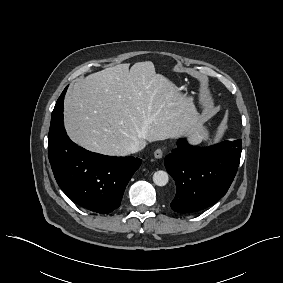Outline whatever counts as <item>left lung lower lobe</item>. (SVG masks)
Returning a JSON list of instances; mask_svg holds the SVG:
<instances>
[{"mask_svg": "<svg viewBox=\"0 0 283 283\" xmlns=\"http://www.w3.org/2000/svg\"><path fill=\"white\" fill-rule=\"evenodd\" d=\"M165 158V167L176 183L171 208L178 213L205 209L228 191L238 169L242 141L196 148L185 139Z\"/></svg>", "mask_w": 283, "mask_h": 283, "instance_id": "obj_1", "label": "left lung lower lobe"}]
</instances>
